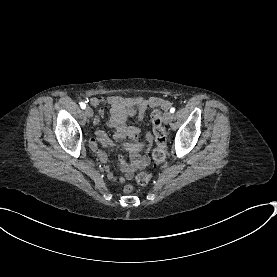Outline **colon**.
Segmentation results:
<instances>
[{
    "label": "colon",
    "mask_w": 277,
    "mask_h": 277,
    "mask_svg": "<svg viewBox=\"0 0 277 277\" xmlns=\"http://www.w3.org/2000/svg\"><path fill=\"white\" fill-rule=\"evenodd\" d=\"M156 149L153 152V161L159 164L163 161L166 150V136L163 130L162 114L159 110H156L152 114ZM153 178V175L149 172H143L136 176V181L138 184L145 185L149 183Z\"/></svg>",
    "instance_id": "5ec220e1"
}]
</instances>
